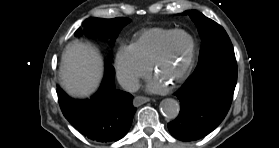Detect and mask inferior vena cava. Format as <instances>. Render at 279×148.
Returning <instances> with one entry per match:
<instances>
[{
  "label": "inferior vena cava",
  "mask_w": 279,
  "mask_h": 148,
  "mask_svg": "<svg viewBox=\"0 0 279 148\" xmlns=\"http://www.w3.org/2000/svg\"><path fill=\"white\" fill-rule=\"evenodd\" d=\"M120 86L128 92H136L140 88L139 80L133 76L121 75L118 76Z\"/></svg>",
  "instance_id": "inferior-vena-cava-1"
}]
</instances>
